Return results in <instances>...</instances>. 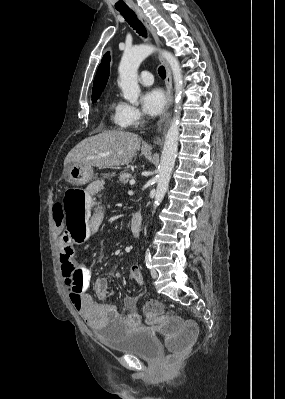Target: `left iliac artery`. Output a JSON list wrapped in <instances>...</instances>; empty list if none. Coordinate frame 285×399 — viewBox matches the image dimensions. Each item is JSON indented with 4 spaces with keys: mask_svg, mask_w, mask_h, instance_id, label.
<instances>
[{
    "mask_svg": "<svg viewBox=\"0 0 285 399\" xmlns=\"http://www.w3.org/2000/svg\"><path fill=\"white\" fill-rule=\"evenodd\" d=\"M145 262H146L147 268L151 269L152 268V260H151V254H150L149 250H147V252H146Z\"/></svg>",
    "mask_w": 285,
    "mask_h": 399,
    "instance_id": "1",
    "label": "left iliac artery"
}]
</instances>
